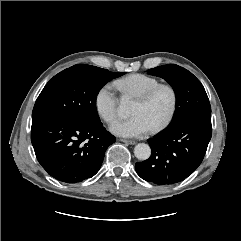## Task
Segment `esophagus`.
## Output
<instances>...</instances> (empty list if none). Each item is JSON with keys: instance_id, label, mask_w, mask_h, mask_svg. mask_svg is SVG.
<instances>
[{"instance_id": "obj_1", "label": "esophagus", "mask_w": 241, "mask_h": 241, "mask_svg": "<svg viewBox=\"0 0 241 241\" xmlns=\"http://www.w3.org/2000/svg\"><path fill=\"white\" fill-rule=\"evenodd\" d=\"M120 141H122V142H124V143H127V144H130V145L136 144V141H135V140L120 139Z\"/></svg>"}]
</instances>
